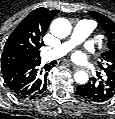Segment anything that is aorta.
Segmentation results:
<instances>
[{
  "mask_svg": "<svg viewBox=\"0 0 115 119\" xmlns=\"http://www.w3.org/2000/svg\"><path fill=\"white\" fill-rule=\"evenodd\" d=\"M51 33L58 38H65L71 32V25L68 20L58 18L54 20L50 26ZM74 79L78 84H85L88 82V74L85 71H78L74 74Z\"/></svg>",
  "mask_w": 115,
  "mask_h": 119,
  "instance_id": "1",
  "label": "aorta"
}]
</instances>
